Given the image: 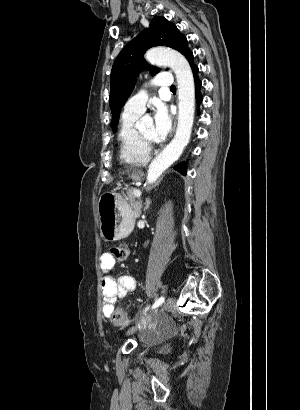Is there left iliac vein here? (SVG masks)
<instances>
[{
	"instance_id": "4c4485c4",
	"label": "left iliac vein",
	"mask_w": 300,
	"mask_h": 410,
	"mask_svg": "<svg viewBox=\"0 0 300 410\" xmlns=\"http://www.w3.org/2000/svg\"><path fill=\"white\" fill-rule=\"evenodd\" d=\"M176 302L175 299L170 297L167 299V301L165 302V304L162 307L163 311H171L175 308ZM137 330V325L132 327L131 329L128 330L127 334H131L133 332H135Z\"/></svg>"
}]
</instances>
